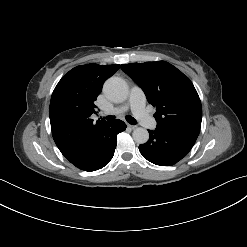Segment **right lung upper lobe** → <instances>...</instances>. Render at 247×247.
Returning a JSON list of instances; mask_svg holds the SVG:
<instances>
[{
    "mask_svg": "<svg viewBox=\"0 0 247 247\" xmlns=\"http://www.w3.org/2000/svg\"><path fill=\"white\" fill-rule=\"evenodd\" d=\"M120 65L86 64L73 68L55 87L49 107L53 139L64 156L75 152L83 138L94 127L106 123H93L94 101L103 83Z\"/></svg>",
    "mask_w": 247,
    "mask_h": 247,
    "instance_id": "obj_1",
    "label": "right lung upper lobe"
}]
</instances>
